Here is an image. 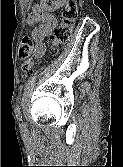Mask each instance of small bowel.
Wrapping results in <instances>:
<instances>
[{
  "label": "small bowel",
  "instance_id": "obj_1",
  "mask_svg": "<svg viewBox=\"0 0 123 167\" xmlns=\"http://www.w3.org/2000/svg\"><path fill=\"white\" fill-rule=\"evenodd\" d=\"M47 1L49 0H45V2ZM54 1L61 2L62 0ZM35 22H37L38 25L31 32V38L34 41L33 55L36 58H40L46 50L44 42L56 28L58 22L52 13L42 7H35L34 12L28 17L29 24H33Z\"/></svg>",
  "mask_w": 123,
  "mask_h": 167
}]
</instances>
